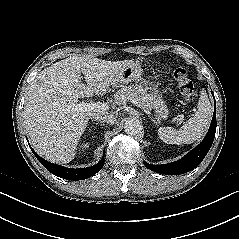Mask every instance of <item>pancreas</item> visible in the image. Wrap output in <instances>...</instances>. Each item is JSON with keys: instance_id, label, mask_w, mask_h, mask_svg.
<instances>
[{"instance_id": "pancreas-1", "label": "pancreas", "mask_w": 239, "mask_h": 239, "mask_svg": "<svg viewBox=\"0 0 239 239\" xmlns=\"http://www.w3.org/2000/svg\"><path fill=\"white\" fill-rule=\"evenodd\" d=\"M125 101L136 102L141 108L150 109L152 97L141 86H123L115 94V103L120 105Z\"/></svg>"}]
</instances>
